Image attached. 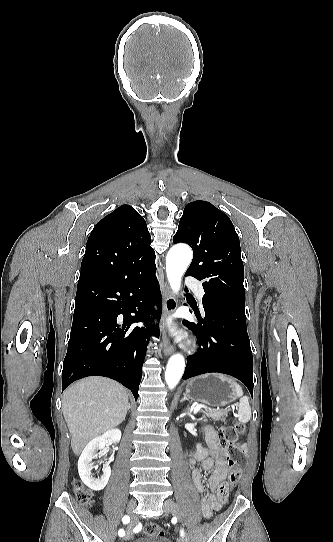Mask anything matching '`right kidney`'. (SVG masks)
I'll use <instances>...</instances> for the list:
<instances>
[{"instance_id":"right-kidney-1","label":"right kidney","mask_w":333,"mask_h":542,"mask_svg":"<svg viewBox=\"0 0 333 542\" xmlns=\"http://www.w3.org/2000/svg\"><path fill=\"white\" fill-rule=\"evenodd\" d=\"M121 440L120 430H107L103 436H98L91 440L87 446H85L79 460H78V474L85 486L90 488V490H95V492H100L108 484V480L111 476V468L108 462H104L102 472L103 476L96 480L91 474L93 468H98V466H93L92 460L98 458L96 454L97 450H104L105 446L108 444H118Z\"/></svg>"}]
</instances>
